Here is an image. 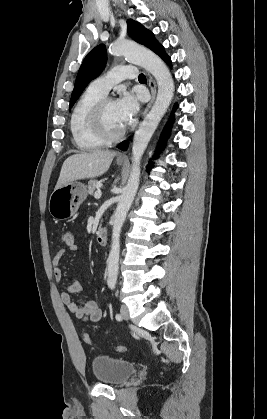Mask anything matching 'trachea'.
I'll use <instances>...</instances> for the list:
<instances>
[{
  "mask_svg": "<svg viewBox=\"0 0 267 419\" xmlns=\"http://www.w3.org/2000/svg\"><path fill=\"white\" fill-rule=\"evenodd\" d=\"M138 79H139L140 81H142V80H146V77H145V75H144V74H140V75H139V77H138Z\"/></svg>",
  "mask_w": 267,
  "mask_h": 419,
  "instance_id": "3493384b",
  "label": "trachea"
}]
</instances>
